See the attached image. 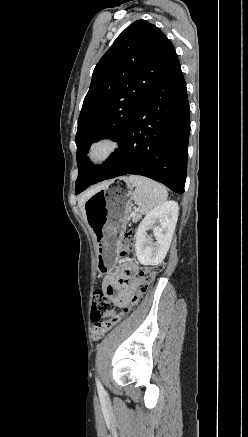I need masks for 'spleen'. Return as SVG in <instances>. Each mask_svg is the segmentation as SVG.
<instances>
[{
	"instance_id": "1",
	"label": "spleen",
	"mask_w": 248,
	"mask_h": 437,
	"mask_svg": "<svg viewBox=\"0 0 248 437\" xmlns=\"http://www.w3.org/2000/svg\"><path fill=\"white\" fill-rule=\"evenodd\" d=\"M128 180L135 186L132 199L138 206L136 211L139 212L133 216L134 222L138 221L142 214L149 213L167 200L168 193L162 184L137 175L129 176Z\"/></svg>"
}]
</instances>
